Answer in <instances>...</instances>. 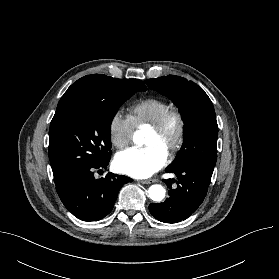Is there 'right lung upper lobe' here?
I'll return each instance as SVG.
<instances>
[{
    "mask_svg": "<svg viewBox=\"0 0 279 279\" xmlns=\"http://www.w3.org/2000/svg\"><path fill=\"white\" fill-rule=\"evenodd\" d=\"M136 80H137V83L140 85V87L143 89V91H145L147 88L143 84V82L138 79H136ZM89 83H90V75L80 78L79 80H77L75 83H73L68 88V90L65 92V94L62 96L61 99H63L64 97H66L67 95H69L72 92L83 90V89L87 88L89 86Z\"/></svg>",
    "mask_w": 279,
    "mask_h": 279,
    "instance_id": "1",
    "label": "right lung upper lobe"
}]
</instances>
